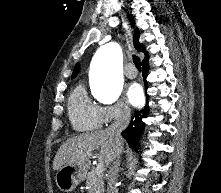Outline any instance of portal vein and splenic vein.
I'll list each match as a JSON object with an SVG mask.
<instances>
[{"instance_id": "portal-vein-and-splenic-vein-1", "label": "portal vein and splenic vein", "mask_w": 221, "mask_h": 193, "mask_svg": "<svg viewBox=\"0 0 221 193\" xmlns=\"http://www.w3.org/2000/svg\"><path fill=\"white\" fill-rule=\"evenodd\" d=\"M96 171H97L98 173H102V172L104 171V164L99 163V164L97 165V167H96Z\"/></svg>"}]
</instances>
